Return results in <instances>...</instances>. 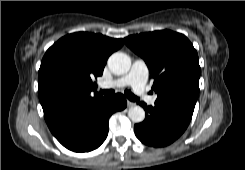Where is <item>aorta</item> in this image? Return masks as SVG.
<instances>
[{"label": "aorta", "mask_w": 245, "mask_h": 170, "mask_svg": "<svg viewBox=\"0 0 245 170\" xmlns=\"http://www.w3.org/2000/svg\"><path fill=\"white\" fill-rule=\"evenodd\" d=\"M108 67L112 73L123 75L130 70V57L122 52L113 53L108 59ZM128 116L134 123H140L145 119V111L140 106H133L128 111Z\"/></svg>", "instance_id": "obj_1"}]
</instances>
